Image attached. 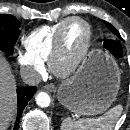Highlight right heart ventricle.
I'll return each mask as SVG.
<instances>
[{
	"mask_svg": "<svg viewBox=\"0 0 130 130\" xmlns=\"http://www.w3.org/2000/svg\"><path fill=\"white\" fill-rule=\"evenodd\" d=\"M68 19L52 25L41 26L23 37L22 43L27 53L43 63L47 61L52 52L57 33Z\"/></svg>",
	"mask_w": 130,
	"mask_h": 130,
	"instance_id": "right-heart-ventricle-1",
	"label": "right heart ventricle"
}]
</instances>
